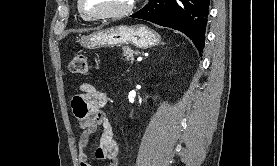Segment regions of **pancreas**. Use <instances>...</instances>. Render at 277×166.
<instances>
[{"label": "pancreas", "mask_w": 277, "mask_h": 166, "mask_svg": "<svg viewBox=\"0 0 277 166\" xmlns=\"http://www.w3.org/2000/svg\"><path fill=\"white\" fill-rule=\"evenodd\" d=\"M136 54H139V51L132 50L128 47L123 49V56L126 58L127 61H133L134 55Z\"/></svg>", "instance_id": "cf45deb5"}]
</instances>
